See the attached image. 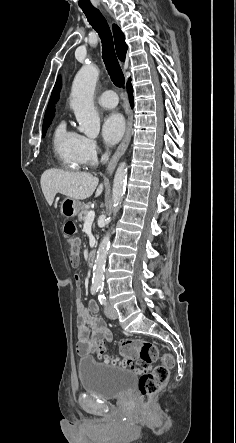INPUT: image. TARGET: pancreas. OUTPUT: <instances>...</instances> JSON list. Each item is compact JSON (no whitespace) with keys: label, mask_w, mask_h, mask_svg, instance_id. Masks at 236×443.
Instances as JSON below:
<instances>
[{"label":"pancreas","mask_w":236,"mask_h":443,"mask_svg":"<svg viewBox=\"0 0 236 443\" xmlns=\"http://www.w3.org/2000/svg\"><path fill=\"white\" fill-rule=\"evenodd\" d=\"M88 213H89V206L83 207L78 215V220L80 222H84Z\"/></svg>","instance_id":"pancreas-1"}]
</instances>
